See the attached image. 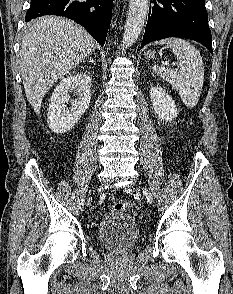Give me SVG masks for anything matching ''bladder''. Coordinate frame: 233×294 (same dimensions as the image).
I'll list each match as a JSON object with an SVG mask.
<instances>
[{
	"label": "bladder",
	"instance_id": "bladder-1",
	"mask_svg": "<svg viewBox=\"0 0 233 294\" xmlns=\"http://www.w3.org/2000/svg\"><path fill=\"white\" fill-rule=\"evenodd\" d=\"M136 220L125 212H109L97 227V238L101 245L116 252L130 251L139 239Z\"/></svg>",
	"mask_w": 233,
	"mask_h": 294
}]
</instances>
